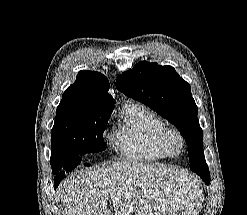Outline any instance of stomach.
<instances>
[{"label":"stomach","mask_w":247,"mask_h":215,"mask_svg":"<svg viewBox=\"0 0 247 215\" xmlns=\"http://www.w3.org/2000/svg\"><path fill=\"white\" fill-rule=\"evenodd\" d=\"M202 201L200 183L190 176L179 175L159 185L139 206L136 215H198Z\"/></svg>","instance_id":"1"}]
</instances>
